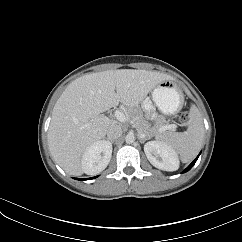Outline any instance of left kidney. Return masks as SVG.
Segmentation results:
<instances>
[{
  "instance_id": "1",
  "label": "left kidney",
  "mask_w": 242,
  "mask_h": 242,
  "mask_svg": "<svg viewBox=\"0 0 242 242\" xmlns=\"http://www.w3.org/2000/svg\"><path fill=\"white\" fill-rule=\"evenodd\" d=\"M144 152L149 162L164 171H176L179 159L173 148L160 141H149L144 145Z\"/></svg>"
}]
</instances>
